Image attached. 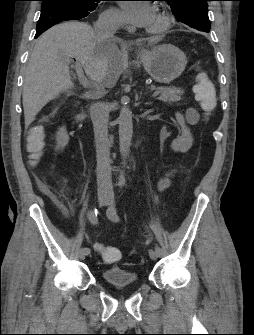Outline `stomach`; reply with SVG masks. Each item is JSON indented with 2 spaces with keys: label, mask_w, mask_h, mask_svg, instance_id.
Wrapping results in <instances>:
<instances>
[{
  "label": "stomach",
  "mask_w": 254,
  "mask_h": 335,
  "mask_svg": "<svg viewBox=\"0 0 254 335\" xmlns=\"http://www.w3.org/2000/svg\"><path fill=\"white\" fill-rule=\"evenodd\" d=\"M139 57L146 72L161 84H169L177 79L187 65L186 55L172 44L142 50Z\"/></svg>",
  "instance_id": "1"
}]
</instances>
